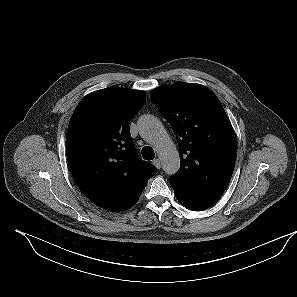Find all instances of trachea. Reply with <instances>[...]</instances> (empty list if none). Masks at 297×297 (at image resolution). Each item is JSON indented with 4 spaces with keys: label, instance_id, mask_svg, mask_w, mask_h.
I'll return each instance as SVG.
<instances>
[{
    "label": "trachea",
    "instance_id": "1",
    "mask_svg": "<svg viewBox=\"0 0 297 297\" xmlns=\"http://www.w3.org/2000/svg\"><path fill=\"white\" fill-rule=\"evenodd\" d=\"M141 153L145 160H153L155 157L154 150L150 146L143 147Z\"/></svg>",
    "mask_w": 297,
    "mask_h": 297
}]
</instances>
